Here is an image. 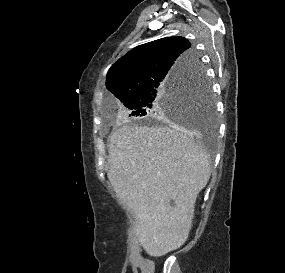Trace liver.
<instances>
[{"instance_id": "1", "label": "liver", "mask_w": 285, "mask_h": 273, "mask_svg": "<svg viewBox=\"0 0 285 273\" xmlns=\"http://www.w3.org/2000/svg\"><path fill=\"white\" fill-rule=\"evenodd\" d=\"M109 156L108 179L135 213L147 254L180 248L211 176L208 153L179 127L124 125L110 136Z\"/></svg>"}]
</instances>
